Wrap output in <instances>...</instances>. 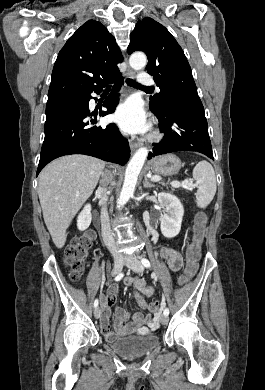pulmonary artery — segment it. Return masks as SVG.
Segmentation results:
<instances>
[{"label": "pulmonary artery", "mask_w": 265, "mask_h": 390, "mask_svg": "<svg viewBox=\"0 0 265 390\" xmlns=\"http://www.w3.org/2000/svg\"><path fill=\"white\" fill-rule=\"evenodd\" d=\"M139 82L142 85L150 86L154 85V81L151 75L146 72H142L139 76Z\"/></svg>", "instance_id": "obj_1"}]
</instances>
